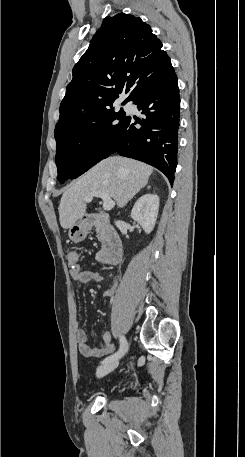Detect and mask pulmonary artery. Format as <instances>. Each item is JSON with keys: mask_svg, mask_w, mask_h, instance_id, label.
Listing matches in <instances>:
<instances>
[{"mask_svg": "<svg viewBox=\"0 0 245 457\" xmlns=\"http://www.w3.org/2000/svg\"><path fill=\"white\" fill-rule=\"evenodd\" d=\"M124 109H125L127 112H129L131 108H130V106L126 105V106H124Z\"/></svg>", "mask_w": 245, "mask_h": 457, "instance_id": "pulmonary-artery-1", "label": "pulmonary artery"}]
</instances>
